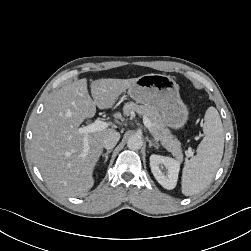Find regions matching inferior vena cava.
<instances>
[{"label":"inferior vena cava","mask_w":251,"mask_h":251,"mask_svg":"<svg viewBox=\"0 0 251 251\" xmlns=\"http://www.w3.org/2000/svg\"><path fill=\"white\" fill-rule=\"evenodd\" d=\"M119 139H120L119 132H113L104 138L103 147L107 150L112 149L116 146Z\"/></svg>","instance_id":"1"}]
</instances>
